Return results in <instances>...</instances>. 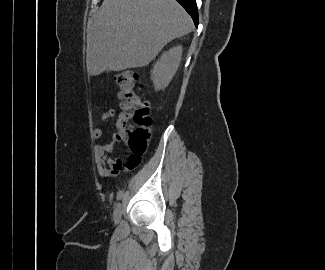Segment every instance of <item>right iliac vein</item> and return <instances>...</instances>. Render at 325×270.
<instances>
[{
    "mask_svg": "<svg viewBox=\"0 0 325 270\" xmlns=\"http://www.w3.org/2000/svg\"><path fill=\"white\" fill-rule=\"evenodd\" d=\"M121 215H122V205L121 203H117L113 212V219L115 223H118L120 221Z\"/></svg>",
    "mask_w": 325,
    "mask_h": 270,
    "instance_id": "63e3f726",
    "label": "right iliac vein"
}]
</instances>
